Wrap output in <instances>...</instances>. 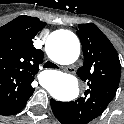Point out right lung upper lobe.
I'll list each match as a JSON object with an SVG mask.
<instances>
[{
    "mask_svg": "<svg viewBox=\"0 0 124 124\" xmlns=\"http://www.w3.org/2000/svg\"><path fill=\"white\" fill-rule=\"evenodd\" d=\"M46 23L22 15L0 27V111L16 109L30 98L31 83L43 63L33 38Z\"/></svg>",
    "mask_w": 124,
    "mask_h": 124,
    "instance_id": "obj_1",
    "label": "right lung upper lobe"
}]
</instances>
